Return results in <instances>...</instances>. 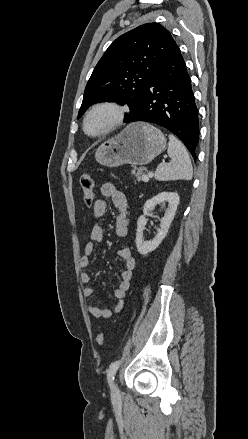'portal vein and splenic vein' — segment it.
<instances>
[{
  "label": "portal vein and splenic vein",
  "mask_w": 248,
  "mask_h": 439,
  "mask_svg": "<svg viewBox=\"0 0 248 439\" xmlns=\"http://www.w3.org/2000/svg\"><path fill=\"white\" fill-rule=\"evenodd\" d=\"M153 175V173L152 172H149L148 173V176H152ZM147 175H144L143 176V178H142V180L144 181V182H147L148 180H149V177H148Z\"/></svg>",
  "instance_id": "18ae733b"
}]
</instances>
